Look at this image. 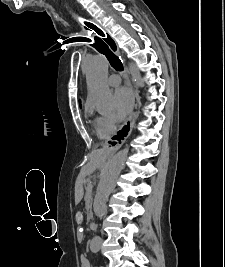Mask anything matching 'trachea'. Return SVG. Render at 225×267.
I'll return each instance as SVG.
<instances>
[{
  "instance_id": "1",
  "label": "trachea",
  "mask_w": 225,
  "mask_h": 267,
  "mask_svg": "<svg viewBox=\"0 0 225 267\" xmlns=\"http://www.w3.org/2000/svg\"><path fill=\"white\" fill-rule=\"evenodd\" d=\"M84 24L87 26L86 29H91L94 30L98 35L104 37L103 31L98 28L96 25L90 23V22H84ZM109 45L111 40L109 39H104ZM98 52L104 54L108 61L110 62L111 66L117 70V71H122L123 70V64L120 61V59L109 49L108 45L99 37H94V41L91 44Z\"/></svg>"
}]
</instances>
